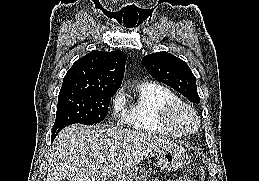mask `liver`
Wrapping results in <instances>:
<instances>
[{"instance_id": "obj_1", "label": "liver", "mask_w": 259, "mask_h": 181, "mask_svg": "<svg viewBox=\"0 0 259 181\" xmlns=\"http://www.w3.org/2000/svg\"><path fill=\"white\" fill-rule=\"evenodd\" d=\"M172 144L136 130L71 125L54 141L46 181L112 180Z\"/></svg>"}]
</instances>
